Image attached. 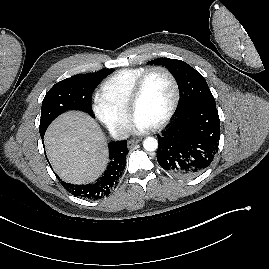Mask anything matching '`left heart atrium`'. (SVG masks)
I'll return each instance as SVG.
<instances>
[{
  "mask_svg": "<svg viewBox=\"0 0 269 269\" xmlns=\"http://www.w3.org/2000/svg\"><path fill=\"white\" fill-rule=\"evenodd\" d=\"M150 127H151L150 125H148L147 123L141 121L140 119L136 117L133 120V129L136 132H144L148 130Z\"/></svg>",
  "mask_w": 269,
  "mask_h": 269,
  "instance_id": "39dd6f15",
  "label": "left heart atrium"
}]
</instances>
